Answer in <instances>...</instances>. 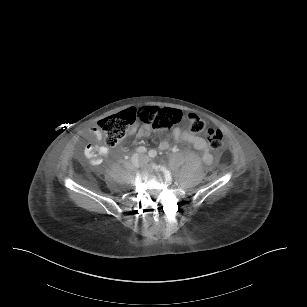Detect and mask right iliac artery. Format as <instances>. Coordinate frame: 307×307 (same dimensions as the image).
Returning a JSON list of instances; mask_svg holds the SVG:
<instances>
[{"instance_id": "1", "label": "right iliac artery", "mask_w": 307, "mask_h": 307, "mask_svg": "<svg viewBox=\"0 0 307 307\" xmlns=\"http://www.w3.org/2000/svg\"><path fill=\"white\" fill-rule=\"evenodd\" d=\"M137 152H138V153H145V152H146V148L140 146V147L137 148Z\"/></svg>"}]
</instances>
